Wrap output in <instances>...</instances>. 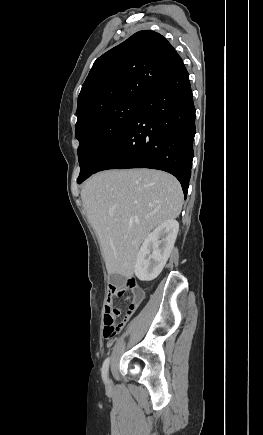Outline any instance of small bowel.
<instances>
[{
	"instance_id": "1",
	"label": "small bowel",
	"mask_w": 263,
	"mask_h": 435,
	"mask_svg": "<svg viewBox=\"0 0 263 435\" xmlns=\"http://www.w3.org/2000/svg\"><path fill=\"white\" fill-rule=\"evenodd\" d=\"M112 308H113V297H112V295H109V297L105 301L104 312L106 313L109 310H111ZM122 327H123V324H122Z\"/></svg>"
}]
</instances>
